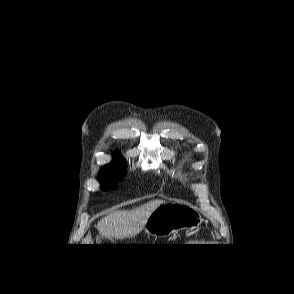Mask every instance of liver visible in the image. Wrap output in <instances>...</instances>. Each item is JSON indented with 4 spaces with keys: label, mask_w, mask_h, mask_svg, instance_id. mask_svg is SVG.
Wrapping results in <instances>:
<instances>
[{
    "label": "liver",
    "mask_w": 294,
    "mask_h": 294,
    "mask_svg": "<svg viewBox=\"0 0 294 294\" xmlns=\"http://www.w3.org/2000/svg\"><path fill=\"white\" fill-rule=\"evenodd\" d=\"M163 203L162 200H151L131 210L113 211L98 222L99 235L108 239L133 238L142 231L151 213ZM89 242H92L90 235L84 240L85 244Z\"/></svg>",
    "instance_id": "6515ba94"
}]
</instances>
